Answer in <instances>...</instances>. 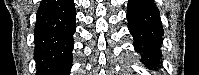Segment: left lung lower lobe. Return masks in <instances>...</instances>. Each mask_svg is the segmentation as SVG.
I'll return each instance as SVG.
<instances>
[{"instance_id": "1", "label": "left lung lower lobe", "mask_w": 199, "mask_h": 75, "mask_svg": "<svg viewBox=\"0 0 199 75\" xmlns=\"http://www.w3.org/2000/svg\"><path fill=\"white\" fill-rule=\"evenodd\" d=\"M127 20L134 48L142 54V62L150 69H157L164 32L156 4L153 0H129Z\"/></svg>"}]
</instances>
